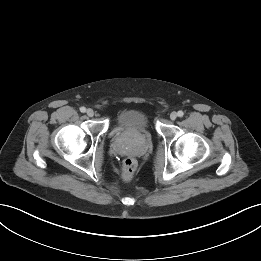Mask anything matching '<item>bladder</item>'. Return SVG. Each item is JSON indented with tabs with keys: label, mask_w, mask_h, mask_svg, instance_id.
<instances>
[{
	"label": "bladder",
	"mask_w": 261,
	"mask_h": 261,
	"mask_svg": "<svg viewBox=\"0 0 261 261\" xmlns=\"http://www.w3.org/2000/svg\"><path fill=\"white\" fill-rule=\"evenodd\" d=\"M116 126L123 130H146L150 126V119L141 110L128 109L118 114Z\"/></svg>",
	"instance_id": "bladder-1"
}]
</instances>
